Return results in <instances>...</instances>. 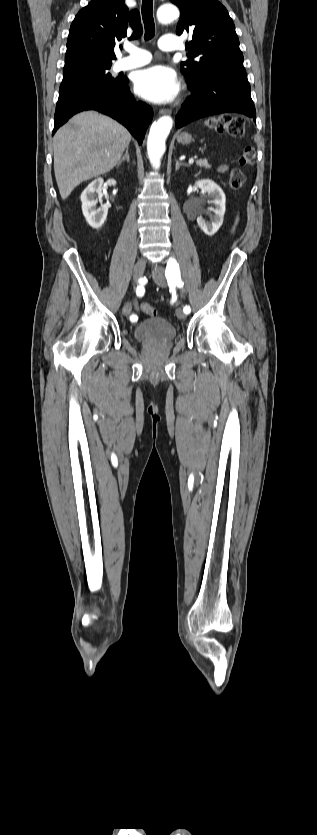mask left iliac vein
<instances>
[{"mask_svg":"<svg viewBox=\"0 0 317 835\" xmlns=\"http://www.w3.org/2000/svg\"><path fill=\"white\" fill-rule=\"evenodd\" d=\"M152 276H153V279H154L155 283L158 286H160L162 288L166 287L167 281H166V277H165L164 271H163L161 266L156 265L154 267V269L152 271ZM176 316L181 320L186 319V314L181 308H178L176 310Z\"/></svg>","mask_w":317,"mask_h":835,"instance_id":"obj_1","label":"left iliac vein"}]
</instances>
